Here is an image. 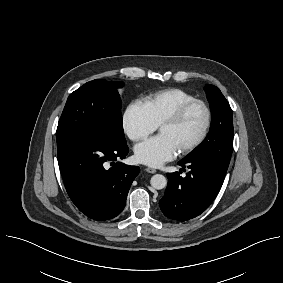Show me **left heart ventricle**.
I'll return each instance as SVG.
<instances>
[{"label": "left heart ventricle", "instance_id": "obj_1", "mask_svg": "<svg viewBox=\"0 0 283 283\" xmlns=\"http://www.w3.org/2000/svg\"><path fill=\"white\" fill-rule=\"evenodd\" d=\"M205 123V114L200 106L190 110L185 119L177 126H162L159 135L170 139L177 150L194 141L201 133Z\"/></svg>", "mask_w": 283, "mask_h": 283}]
</instances>
